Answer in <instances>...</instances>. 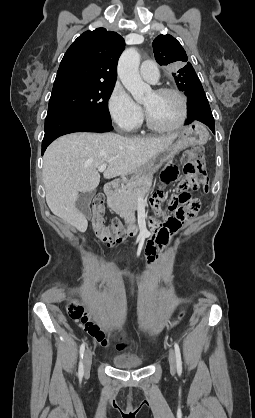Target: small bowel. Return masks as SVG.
Listing matches in <instances>:
<instances>
[{"label": "small bowel", "instance_id": "1", "mask_svg": "<svg viewBox=\"0 0 255 418\" xmlns=\"http://www.w3.org/2000/svg\"><path fill=\"white\" fill-rule=\"evenodd\" d=\"M176 174H177L176 168L169 166L162 172V176H163L162 180L164 182L172 181L175 178ZM185 222L186 221L184 222L180 221L179 227L176 228L174 231L172 227H163L162 234L159 237H157L155 234H152L149 237V240H147L145 243L146 247L143 249V254L147 256V262L149 265H153L154 263H156L158 259L160 258V255L165 253V250L161 248H167V247L173 246L172 242H167L169 239L168 236H172V234L177 232ZM113 267H114V264L112 262H109L105 265L106 269H112ZM166 311L168 313H171L173 311V308L171 306H168L166 308ZM87 331L102 346L106 347V346H109L112 342H116V347L119 350H124L129 347L128 343L120 342L121 339L116 337L115 335L108 337L106 332L100 329L97 325L93 329H90Z\"/></svg>", "mask_w": 255, "mask_h": 418}]
</instances>
